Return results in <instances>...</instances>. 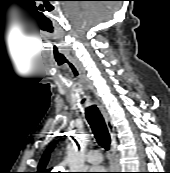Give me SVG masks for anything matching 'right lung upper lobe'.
<instances>
[{
  "label": "right lung upper lobe",
  "mask_w": 170,
  "mask_h": 173,
  "mask_svg": "<svg viewBox=\"0 0 170 173\" xmlns=\"http://www.w3.org/2000/svg\"><path fill=\"white\" fill-rule=\"evenodd\" d=\"M54 145L55 144L52 143L47 148V150L44 152L43 157L41 158V161H40V163L38 165V171H37V173H46V172H44V170H45V167H46V165L48 163L50 152L53 150Z\"/></svg>",
  "instance_id": "right-lung-upper-lobe-1"
}]
</instances>
